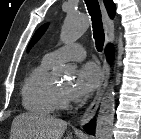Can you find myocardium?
I'll return each mask as SVG.
<instances>
[{
	"mask_svg": "<svg viewBox=\"0 0 141 139\" xmlns=\"http://www.w3.org/2000/svg\"><path fill=\"white\" fill-rule=\"evenodd\" d=\"M57 96H58V106L66 107L69 103L67 93L64 92L59 87H56Z\"/></svg>",
	"mask_w": 141,
	"mask_h": 139,
	"instance_id": "obj_1",
	"label": "myocardium"
}]
</instances>
